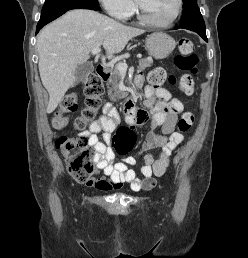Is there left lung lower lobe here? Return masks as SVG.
Instances as JSON below:
<instances>
[{
    "instance_id": "obj_1",
    "label": "left lung lower lobe",
    "mask_w": 248,
    "mask_h": 258,
    "mask_svg": "<svg viewBox=\"0 0 248 258\" xmlns=\"http://www.w3.org/2000/svg\"><path fill=\"white\" fill-rule=\"evenodd\" d=\"M179 28L188 29V30L197 32L205 41H207L204 21L189 23L187 25H183V26L180 25L179 27L178 26L175 27V29H179Z\"/></svg>"
}]
</instances>
